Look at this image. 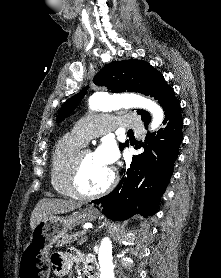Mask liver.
Listing matches in <instances>:
<instances>
[{
  "instance_id": "1",
  "label": "liver",
  "mask_w": 221,
  "mask_h": 278,
  "mask_svg": "<svg viewBox=\"0 0 221 278\" xmlns=\"http://www.w3.org/2000/svg\"><path fill=\"white\" fill-rule=\"evenodd\" d=\"M81 207L80 203L63 199H41L34 208L30 217V226L33 230L44 218L54 214H64Z\"/></svg>"
}]
</instances>
